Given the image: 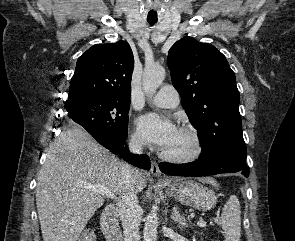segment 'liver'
Segmentation results:
<instances>
[{
  "mask_svg": "<svg viewBox=\"0 0 295 241\" xmlns=\"http://www.w3.org/2000/svg\"><path fill=\"white\" fill-rule=\"evenodd\" d=\"M122 164L83 129L75 127L61 133L38 174L36 205L43 241H77L105 201V196L84 185H100L121 195ZM203 181L215 185L212 179ZM145 187L146 179L138 171L135 189L140 192Z\"/></svg>",
  "mask_w": 295,
  "mask_h": 241,
  "instance_id": "obj_1",
  "label": "liver"
}]
</instances>
